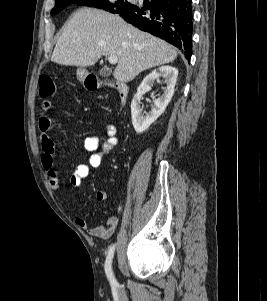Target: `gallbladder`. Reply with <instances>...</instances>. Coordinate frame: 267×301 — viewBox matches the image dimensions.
<instances>
[{"label":"gallbladder","mask_w":267,"mask_h":301,"mask_svg":"<svg viewBox=\"0 0 267 301\" xmlns=\"http://www.w3.org/2000/svg\"><path fill=\"white\" fill-rule=\"evenodd\" d=\"M99 75L101 77H109L111 75V70L107 69V68H102L100 71H99Z\"/></svg>","instance_id":"obj_1"}]
</instances>
